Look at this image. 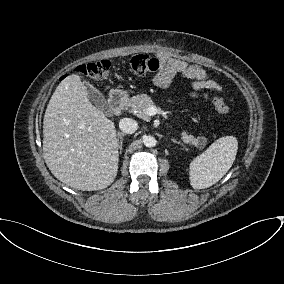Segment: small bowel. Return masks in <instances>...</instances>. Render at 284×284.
<instances>
[{
  "label": "small bowel",
  "mask_w": 284,
  "mask_h": 284,
  "mask_svg": "<svg viewBox=\"0 0 284 284\" xmlns=\"http://www.w3.org/2000/svg\"><path fill=\"white\" fill-rule=\"evenodd\" d=\"M162 64L154 76V84L159 88H167L176 75L194 80L191 96L200 97L203 90H220V86L207 77L206 70L198 64H190L182 59L160 55Z\"/></svg>",
  "instance_id": "small-bowel-1"
}]
</instances>
